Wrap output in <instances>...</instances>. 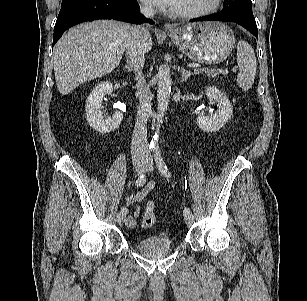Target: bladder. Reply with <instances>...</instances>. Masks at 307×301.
Listing matches in <instances>:
<instances>
[{
	"instance_id": "1",
	"label": "bladder",
	"mask_w": 307,
	"mask_h": 301,
	"mask_svg": "<svg viewBox=\"0 0 307 301\" xmlns=\"http://www.w3.org/2000/svg\"><path fill=\"white\" fill-rule=\"evenodd\" d=\"M173 247V243L166 233L143 237L136 242L137 250L151 258L162 257L169 253Z\"/></svg>"
}]
</instances>
